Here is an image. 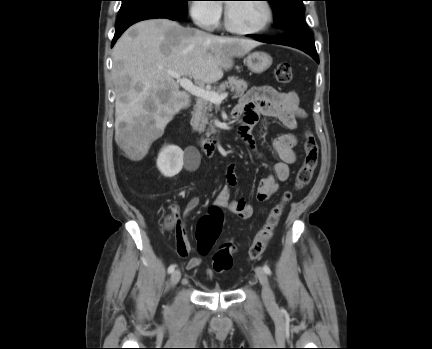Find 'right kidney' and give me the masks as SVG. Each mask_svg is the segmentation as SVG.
Here are the masks:
<instances>
[{"instance_id":"ca27d5eb","label":"right kidney","mask_w":432,"mask_h":349,"mask_svg":"<svg viewBox=\"0 0 432 349\" xmlns=\"http://www.w3.org/2000/svg\"><path fill=\"white\" fill-rule=\"evenodd\" d=\"M183 150L175 145L161 149L157 158V167L165 177L177 175L183 167Z\"/></svg>"}]
</instances>
